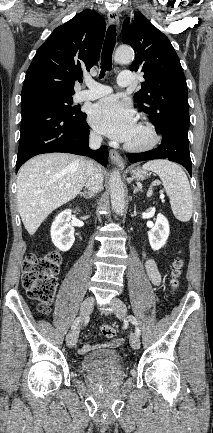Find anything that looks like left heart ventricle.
Segmentation results:
<instances>
[{
  "mask_svg": "<svg viewBox=\"0 0 213 433\" xmlns=\"http://www.w3.org/2000/svg\"><path fill=\"white\" fill-rule=\"evenodd\" d=\"M148 139V135L146 131L137 124L130 138L126 141L128 144L139 145L146 142Z\"/></svg>",
  "mask_w": 213,
  "mask_h": 433,
  "instance_id": "left-heart-ventricle-1",
  "label": "left heart ventricle"
}]
</instances>
